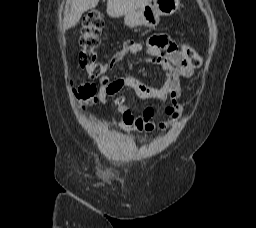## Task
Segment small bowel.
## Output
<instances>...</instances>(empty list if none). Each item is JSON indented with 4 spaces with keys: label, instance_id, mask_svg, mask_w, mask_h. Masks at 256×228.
Returning a JSON list of instances; mask_svg holds the SVG:
<instances>
[{
    "label": "small bowel",
    "instance_id": "obj_1",
    "mask_svg": "<svg viewBox=\"0 0 256 228\" xmlns=\"http://www.w3.org/2000/svg\"><path fill=\"white\" fill-rule=\"evenodd\" d=\"M145 50L150 61L161 66L166 74V81L161 87H152L141 82L134 76H125L111 80L106 72L115 66L128 54H137ZM193 74V67L181 53L180 47L173 42L167 34L159 33L152 35L146 46L143 44L127 40L120 50L113 53L103 65V74L99 78V100L106 102L111 96L119 93L124 87L131 88L142 100H166L171 103L165 109L167 119L156 123L153 120L154 110L148 107L140 116H135L132 110L124 103V98L120 97L116 101L118 112L121 115L119 121H114V125L124 131H152L156 128L166 129L180 118L184 108L179 102L182 93L181 80Z\"/></svg>",
    "mask_w": 256,
    "mask_h": 228
}]
</instances>
